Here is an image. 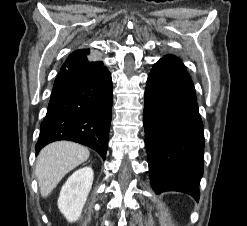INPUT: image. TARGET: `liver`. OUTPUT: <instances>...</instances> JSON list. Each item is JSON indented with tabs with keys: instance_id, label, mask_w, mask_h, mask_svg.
Listing matches in <instances>:
<instances>
[{
	"instance_id": "liver-1",
	"label": "liver",
	"mask_w": 247,
	"mask_h": 226,
	"mask_svg": "<svg viewBox=\"0 0 247 226\" xmlns=\"http://www.w3.org/2000/svg\"><path fill=\"white\" fill-rule=\"evenodd\" d=\"M89 150L77 143L58 141L44 147L36 161L35 174L42 197H47L61 179L89 158Z\"/></svg>"
}]
</instances>
